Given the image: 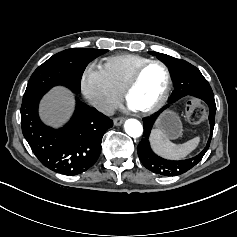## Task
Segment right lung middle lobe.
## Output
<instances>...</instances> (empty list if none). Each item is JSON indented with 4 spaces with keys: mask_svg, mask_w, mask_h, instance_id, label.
I'll list each match as a JSON object with an SVG mask.
<instances>
[{
    "mask_svg": "<svg viewBox=\"0 0 237 237\" xmlns=\"http://www.w3.org/2000/svg\"><path fill=\"white\" fill-rule=\"evenodd\" d=\"M107 51L76 48L55 54L34 71L22 103L41 97L56 85H64L73 92L79 93L82 74L87 64Z\"/></svg>",
    "mask_w": 237,
    "mask_h": 237,
    "instance_id": "obj_1",
    "label": "right lung middle lobe"
}]
</instances>
